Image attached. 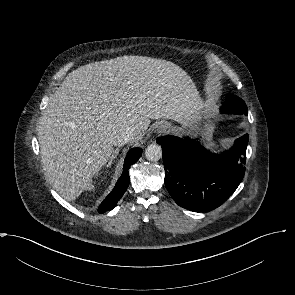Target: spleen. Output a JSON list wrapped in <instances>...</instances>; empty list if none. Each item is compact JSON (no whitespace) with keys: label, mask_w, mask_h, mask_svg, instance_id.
Wrapping results in <instances>:
<instances>
[{"label":"spleen","mask_w":295,"mask_h":295,"mask_svg":"<svg viewBox=\"0 0 295 295\" xmlns=\"http://www.w3.org/2000/svg\"><path fill=\"white\" fill-rule=\"evenodd\" d=\"M210 145H211V146H216V147L218 146V145H216V144H214V143H211Z\"/></svg>","instance_id":"3e777b00"}]
</instances>
